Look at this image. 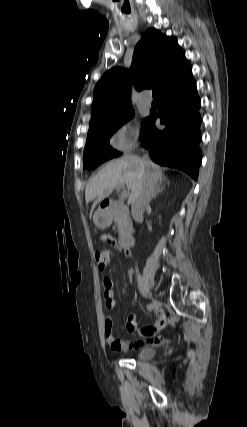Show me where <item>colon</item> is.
Masks as SVG:
<instances>
[{"label":"colon","mask_w":247,"mask_h":427,"mask_svg":"<svg viewBox=\"0 0 247 427\" xmlns=\"http://www.w3.org/2000/svg\"><path fill=\"white\" fill-rule=\"evenodd\" d=\"M95 260L98 264V267L103 270L105 269L111 261V252L108 249H101L95 252ZM131 343L127 340L116 339L115 346L117 348H127Z\"/></svg>","instance_id":"obj_1"}]
</instances>
